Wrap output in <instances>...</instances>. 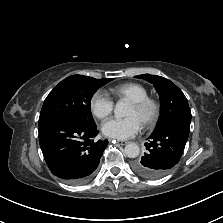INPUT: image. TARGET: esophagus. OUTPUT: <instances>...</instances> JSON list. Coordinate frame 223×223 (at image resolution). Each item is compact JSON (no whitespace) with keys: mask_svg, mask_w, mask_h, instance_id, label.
Returning <instances> with one entry per match:
<instances>
[{"mask_svg":"<svg viewBox=\"0 0 223 223\" xmlns=\"http://www.w3.org/2000/svg\"><path fill=\"white\" fill-rule=\"evenodd\" d=\"M112 142H117L118 144L124 145L127 143V141H123V140H110Z\"/></svg>","mask_w":223,"mask_h":223,"instance_id":"obj_1","label":"esophagus"}]
</instances>
